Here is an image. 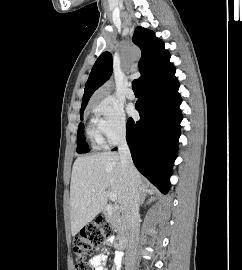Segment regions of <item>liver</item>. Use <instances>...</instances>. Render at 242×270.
Segmentation results:
<instances>
[{
  "instance_id": "1",
  "label": "liver",
  "mask_w": 242,
  "mask_h": 270,
  "mask_svg": "<svg viewBox=\"0 0 242 270\" xmlns=\"http://www.w3.org/2000/svg\"><path fill=\"white\" fill-rule=\"evenodd\" d=\"M135 182L139 190L145 188L137 170ZM107 190L117 195L120 204L125 203L127 185L120 156L101 152L78 157L73 164L70 184L72 236L103 211L108 201Z\"/></svg>"
}]
</instances>
